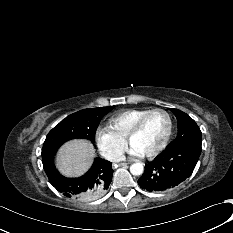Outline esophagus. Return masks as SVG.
I'll use <instances>...</instances> for the list:
<instances>
[{
  "instance_id": "obj_1",
  "label": "esophagus",
  "mask_w": 233,
  "mask_h": 233,
  "mask_svg": "<svg viewBox=\"0 0 233 233\" xmlns=\"http://www.w3.org/2000/svg\"><path fill=\"white\" fill-rule=\"evenodd\" d=\"M118 165L119 166H125V165H127V163H119Z\"/></svg>"
}]
</instances>
